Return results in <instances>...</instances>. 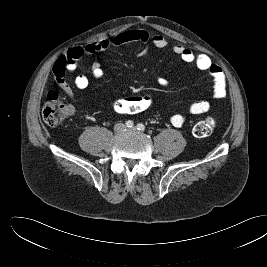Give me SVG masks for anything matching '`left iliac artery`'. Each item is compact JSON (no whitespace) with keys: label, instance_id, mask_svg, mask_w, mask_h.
I'll use <instances>...</instances> for the list:
<instances>
[{"label":"left iliac artery","instance_id":"left-iliac-artery-1","mask_svg":"<svg viewBox=\"0 0 267 267\" xmlns=\"http://www.w3.org/2000/svg\"><path fill=\"white\" fill-rule=\"evenodd\" d=\"M137 129L143 131L145 126L142 123L137 124Z\"/></svg>","mask_w":267,"mask_h":267}]
</instances>
